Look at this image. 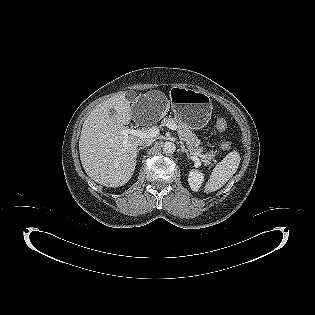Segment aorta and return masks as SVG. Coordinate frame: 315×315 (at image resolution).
I'll return each instance as SVG.
<instances>
[{
    "label": "aorta",
    "mask_w": 315,
    "mask_h": 315,
    "mask_svg": "<svg viewBox=\"0 0 315 315\" xmlns=\"http://www.w3.org/2000/svg\"><path fill=\"white\" fill-rule=\"evenodd\" d=\"M176 150V146L173 142H165L163 145V152L166 154H172Z\"/></svg>",
    "instance_id": "obj_1"
}]
</instances>
